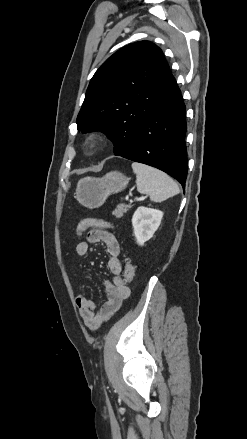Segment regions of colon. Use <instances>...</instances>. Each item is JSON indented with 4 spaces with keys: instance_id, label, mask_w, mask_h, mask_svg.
I'll return each instance as SVG.
<instances>
[{
    "instance_id": "5ec220e1",
    "label": "colon",
    "mask_w": 247,
    "mask_h": 439,
    "mask_svg": "<svg viewBox=\"0 0 247 439\" xmlns=\"http://www.w3.org/2000/svg\"><path fill=\"white\" fill-rule=\"evenodd\" d=\"M91 227L109 228L111 227V224L101 219H94V218L84 219L80 221L79 224L77 225L76 233L78 236H80ZM134 275H135V266L132 264L131 261L128 260L126 262V266L123 274L124 284H129L133 280Z\"/></svg>"
}]
</instances>
